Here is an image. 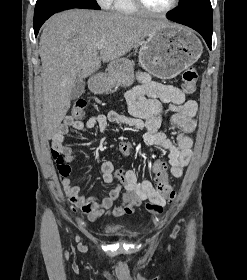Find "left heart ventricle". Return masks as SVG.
I'll list each match as a JSON object with an SVG mask.
<instances>
[{"label": "left heart ventricle", "instance_id": "obj_1", "mask_svg": "<svg viewBox=\"0 0 247 280\" xmlns=\"http://www.w3.org/2000/svg\"><path fill=\"white\" fill-rule=\"evenodd\" d=\"M144 3L152 10H164L168 8L173 0H143Z\"/></svg>", "mask_w": 247, "mask_h": 280}]
</instances>
